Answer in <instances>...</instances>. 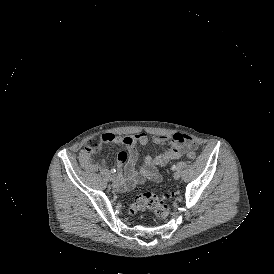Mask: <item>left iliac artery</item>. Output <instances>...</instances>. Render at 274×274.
<instances>
[{
	"instance_id": "obj_1",
	"label": "left iliac artery",
	"mask_w": 274,
	"mask_h": 274,
	"mask_svg": "<svg viewBox=\"0 0 274 274\" xmlns=\"http://www.w3.org/2000/svg\"><path fill=\"white\" fill-rule=\"evenodd\" d=\"M176 168H177L176 165H173V166L171 167L172 170H176Z\"/></svg>"
}]
</instances>
